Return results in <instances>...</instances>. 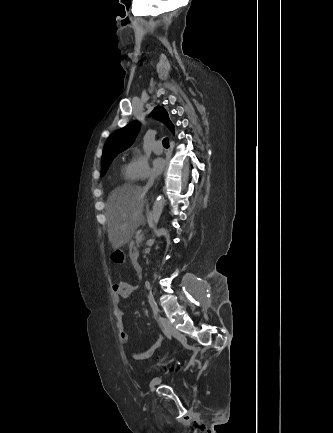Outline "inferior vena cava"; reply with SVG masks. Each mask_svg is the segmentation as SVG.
Here are the masks:
<instances>
[{
	"label": "inferior vena cava",
	"instance_id": "602c4592",
	"mask_svg": "<svg viewBox=\"0 0 333 433\" xmlns=\"http://www.w3.org/2000/svg\"><path fill=\"white\" fill-rule=\"evenodd\" d=\"M154 181H155V178H154V176L150 173V174L148 175V182H147L145 188H146V189L151 188V187L153 186V184H154Z\"/></svg>",
	"mask_w": 333,
	"mask_h": 433
}]
</instances>
